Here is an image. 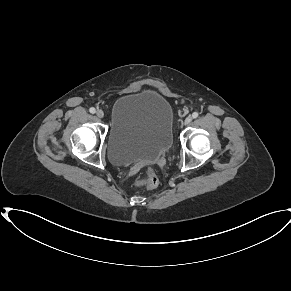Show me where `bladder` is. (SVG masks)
I'll return each mask as SVG.
<instances>
[{"mask_svg": "<svg viewBox=\"0 0 291 291\" xmlns=\"http://www.w3.org/2000/svg\"><path fill=\"white\" fill-rule=\"evenodd\" d=\"M172 125V106L161 94L144 89L118 97L110 111V162L126 166L164 154L173 143Z\"/></svg>", "mask_w": 291, "mask_h": 291, "instance_id": "obj_1", "label": "bladder"}]
</instances>
